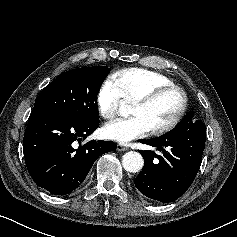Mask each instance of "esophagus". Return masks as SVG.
Listing matches in <instances>:
<instances>
[{
  "mask_svg": "<svg viewBox=\"0 0 237 237\" xmlns=\"http://www.w3.org/2000/svg\"><path fill=\"white\" fill-rule=\"evenodd\" d=\"M117 150L118 151H127L128 148L124 145L119 144V145H117Z\"/></svg>",
  "mask_w": 237,
  "mask_h": 237,
  "instance_id": "esophagus-1",
  "label": "esophagus"
}]
</instances>
